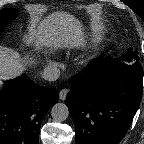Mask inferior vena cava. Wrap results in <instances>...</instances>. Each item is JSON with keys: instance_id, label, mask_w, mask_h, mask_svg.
<instances>
[{"instance_id": "1", "label": "inferior vena cava", "mask_w": 144, "mask_h": 144, "mask_svg": "<svg viewBox=\"0 0 144 144\" xmlns=\"http://www.w3.org/2000/svg\"><path fill=\"white\" fill-rule=\"evenodd\" d=\"M60 76V70L57 67H46L44 68L42 77L48 81H56Z\"/></svg>"}]
</instances>
